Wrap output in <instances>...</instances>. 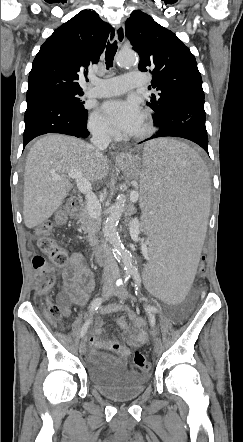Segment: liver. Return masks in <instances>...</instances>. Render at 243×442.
<instances>
[{
  "mask_svg": "<svg viewBox=\"0 0 243 442\" xmlns=\"http://www.w3.org/2000/svg\"><path fill=\"white\" fill-rule=\"evenodd\" d=\"M70 170H79L89 182L104 179L109 173V159H96L95 149L75 137L48 134L31 147L25 165L23 218L27 228H34L60 207L72 188L67 179ZM54 176H60L58 180Z\"/></svg>",
  "mask_w": 243,
  "mask_h": 442,
  "instance_id": "liver-1",
  "label": "liver"
}]
</instances>
